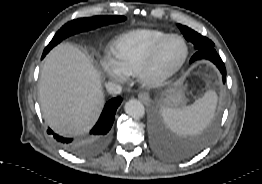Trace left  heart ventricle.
Here are the masks:
<instances>
[{
  "mask_svg": "<svg viewBox=\"0 0 262 184\" xmlns=\"http://www.w3.org/2000/svg\"><path fill=\"white\" fill-rule=\"evenodd\" d=\"M184 53L183 43L178 39L171 40L162 51L158 63V70H165L177 63Z\"/></svg>",
  "mask_w": 262,
  "mask_h": 184,
  "instance_id": "1",
  "label": "left heart ventricle"
}]
</instances>
